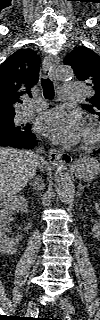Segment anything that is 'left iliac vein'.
<instances>
[{"label": "left iliac vein", "instance_id": "4c4485c4", "mask_svg": "<svg viewBox=\"0 0 100 320\" xmlns=\"http://www.w3.org/2000/svg\"><path fill=\"white\" fill-rule=\"evenodd\" d=\"M60 305L62 307V309L70 314V315H75V309L74 307L72 306V304L68 301V299L66 298H61L60 300Z\"/></svg>", "mask_w": 100, "mask_h": 320}]
</instances>
